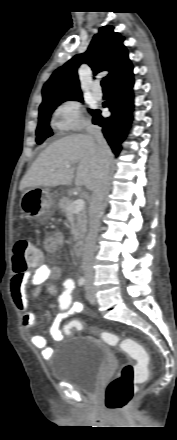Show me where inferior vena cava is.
<instances>
[{
  "label": "inferior vena cava",
  "instance_id": "1",
  "mask_svg": "<svg viewBox=\"0 0 177 440\" xmlns=\"http://www.w3.org/2000/svg\"><path fill=\"white\" fill-rule=\"evenodd\" d=\"M87 131L95 139V147L99 156L98 176L92 189V199L89 208V229L82 259L84 277L87 281H90L93 279V261L96 251V239L100 228L101 215L104 209V198L107 192L109 164L104 158V139L101 128L95 125H89Z\"/></svg>",
  "mask_w": 177,
  "mask_h": 440
}]
</instances>
